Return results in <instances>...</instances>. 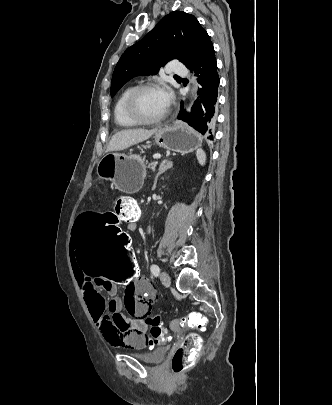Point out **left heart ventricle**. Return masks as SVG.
Segmentation results:
<instances>
[{
	"instance_id": "left-heart-ventricle-1",
	"label": "left heart ventricle",
	"mask_w": 332,
	"mask_h": 405,
	"mask_svg": "<svg viewBox=\"0 0 332 405\" xmlns=\"http://www.w3.org/2000/svg\"><path fill=\"white\" fill-rule=\"evenodd\" d=\"M138 114L146 119L163 115L167 110L161 90H147L142 92L136 100Z\"/></svg>"
}]
</instances>
